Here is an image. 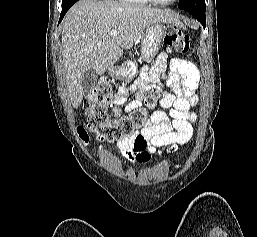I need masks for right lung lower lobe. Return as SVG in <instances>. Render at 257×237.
I'll use <instances>...</instances> for the list:
<instances>
[{
  "mask_svg": "<svg viewBox=\"0 0 257 237\" xmlns=\"http://www.w3.org/2000/svg\"><path fill=\"white\" fill-rule=\"evenodd\" d=\"M71 7V6H70ZM70 7H67V8H63L62 9V12H61V15H60V19H59V23L61 22V20L63 19L64 15L66 14V12L69 10ZM58 23V24H59Z\"/></svg>",
  "mask_w": 257,
  "mask_h": 237,
  "instance_id": "1",
  "label": "right lung lower lobe"
}]
</instances>
